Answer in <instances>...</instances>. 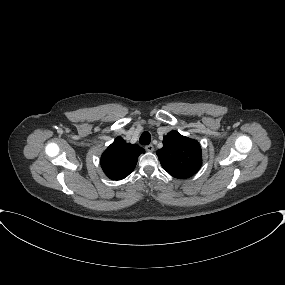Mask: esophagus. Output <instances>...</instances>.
Listing matches in <instances>:
<instances>
[{"mask_svg": "<svg viewBox=\"0 0 285 285\" xmlns=\"http://www.w3.org/2000/svg\"><path fill=\"white\" fill-rule=\"evenodd\" d=\"M146 151L152 152L154 151V146L152 144L145 146Z\"/></svg>", "mask_w": 285, "mask_h": 285, "instance_id": "obj_1", "label": "esophagus"}]
</instances>
